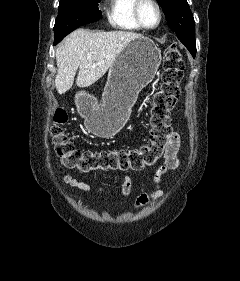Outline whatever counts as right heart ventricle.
<instances>
[{"label":"right heart ventricle","mask_w":240,"mask_h":281,"mask_svg":"<svg viewBox=\"0 0 240 281\" xmlns=\"http://www.w3.org/2000/svg\"><path fill=\"white\" fill-rule=\"evenodd\" d=\"M136 0H109L106 16L109 24L118 30L140 31L133 8Z\"/></svg>","instance_id":"right-heart-ventricle-1"}]
</instances>
